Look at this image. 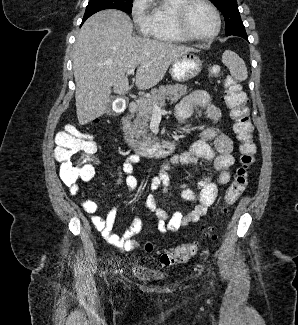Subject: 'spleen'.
I'll return each mask as SVG.
<instances>
[{
	"label": "spleen",
	"instance_id": "1",
	"mask_svg": "<svg viewBox=\"0 0 298 325\" xmlns=\"http://www.w3.org/2000/svg\"><path fill=\"white\" fill-rule=\"evenodd\" d=\"M222 62L225 66H228L231 76H234L236 80H246L248 76L247 66L237 52H234V50H224Z\"/></svg>",
	"mask_w": 298,
	"mask_h": 325
}]
</instances>
